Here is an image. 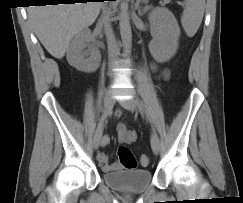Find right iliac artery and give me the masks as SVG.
<instances>
[{
  "label": "right iliac artery",
  "instance_id": "right-iliac-artery-1",
  "mask_svg": "<svg viewBox=\"0 0 243 203\" xmlns=\"http://www.w3.org/2000/svg\"><path fill=\"white\" fill-rule=\"evenodd\" d=\"M110 113H111V109H110L107 113H104V114L101 116V118H100V120H99V123H98V126H97V130H99V129L102 128L105 119L107 118V116H108Z\"/></svg>",
  "mask_w": 243,
  "mask_h": 203
}]
</instances>
